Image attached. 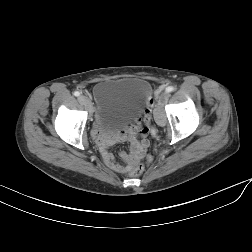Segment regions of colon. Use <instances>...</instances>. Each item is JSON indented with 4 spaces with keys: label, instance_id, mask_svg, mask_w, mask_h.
Segmentation results:
<instances>
[{
    "label": "colon",
    "instance_id": "5ec220e1",
    "mask_svg": "<svg viewBox=\"0 0 252 252\" xmlns=\"http://www.w3.org/2000/svg\"><path fill=\"white\" fill-rule=\"evenodd\" d=\"M153 103H154L153 100L150 99L148 103V107L145 111L144 121L147 124H150V121H151V109H152ZM147 160L150 162L152 160V157L149 155L147 157ZM143 171H144V165L142 163H139L130 170L129 174L132 177H137V176H140L143 173Z\"/></svg>",
    "mask_w": 252,
    "mask_h": 252
}]
</instances>
